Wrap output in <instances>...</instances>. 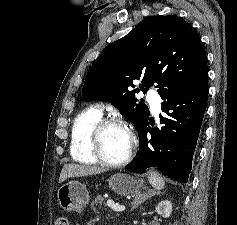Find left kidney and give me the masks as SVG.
<instances>
[{"label": "left kidney", "instance_id": "obj_1", "mask_svg": "<svg viewBox=\"0 0 237 225\" xmlns=\"http://www.w3.org/2000/svg\"><path fill=\"white\" fill-rule=\"evenodd\" d=\"M155 210L162 217L168 218L172 213V203L168 200L161 201Z\"/></svg>", "mask_w": 237, "mask_h": 225}]
</instances>
